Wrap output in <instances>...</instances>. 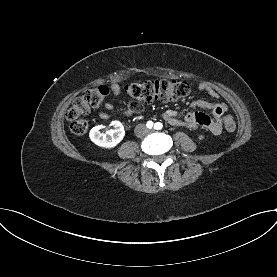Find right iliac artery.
<instances>
[{
	"instance_id": "82829eb1",
	"label": "right iliac artery",
	"mask_w": 277,
	"mask_h": 277,
	"mask_svg": "<svg viewBox=\"0 0 277 277\" xmlns=\"http://www.w3.org/2000/svg\"><path fill=\"white\" fill-rule=\"evenodd\" d=\"M152 126H153V122H152V121H148V122H147V127H148V128H152Z\"/></svg>"
}]
</instances>
